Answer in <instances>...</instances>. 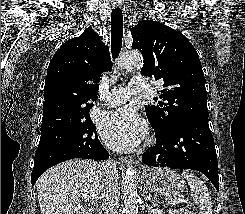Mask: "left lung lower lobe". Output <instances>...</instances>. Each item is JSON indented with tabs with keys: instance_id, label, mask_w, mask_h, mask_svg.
I'll list each match as a JSON object with an SVG mask.
<instances>
[{
	"instance_id": "left-lung-lower-lobe-1",
	"label": "left lung lower lobe",
	"mask_w": 245,
	"mask_h": 214,
	"mask_svg": "<svg viewBox=\"0 0 245 214\" xmlns=\"http://www.w3.org/2000/svg\"><path fill=\"white\" fill-rule=\"evenodd\" d=\"M155 135L156 145L142 155L143 163L202 172L219 190L218 161L208 119H190L167 135Z\"/></svg>"
}]
</instances>
